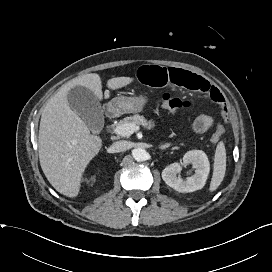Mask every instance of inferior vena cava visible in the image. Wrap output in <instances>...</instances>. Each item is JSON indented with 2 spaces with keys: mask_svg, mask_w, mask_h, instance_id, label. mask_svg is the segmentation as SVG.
<instances>
[{
  "mask_svg": "<svg viewBox=\"0 0 272 272\" xmlns=\"http://www.w3.org/2000/svg\"><path fill=\"white\" fill-rule=\"evenodd\" d=\"M130 147H131L130 142L125 141V140H120V141L114 142L111 145L110 149L112 152L118 153V152H124V151L130 149Z\"/></svg>",
  "mask_w": 272,
  "mask_h": 272,
  "instance_id": "1",
  "label": "inferior vena cava"
}]
</instances>
